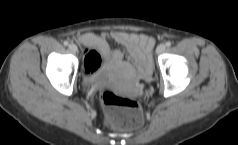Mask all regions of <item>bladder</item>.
<instances>
[{
    "instance_id": "1",
    "label": "bladder",
    "mask_w": 238,
    "mask_h": 145,
    "mask_svg": "<svg viewBox=\"0 0 238 145\" xmlns=\"http://www.w3.org/2000/svg\"><path fill=\"white\" fill-rule=\"evenodd\" d=\"M96 69H97V68H96ZM96 69H95V70H96ZM95 70L92 71V74L94 73Z\"/></svg>"
}]
</instances>
